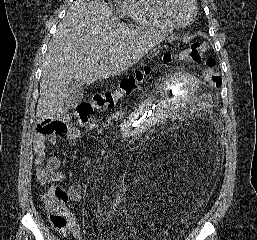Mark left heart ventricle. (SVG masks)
I'll return each mask as SVG.
<instances>
[{
  "mask_svg": "<svg viewBox=\"0 0 257 240\" xmlns=\"http://www.w3.org/2000/svg\"><path fill=\"white\" fill-rule=\"evenodd\" d=\"M168 12L177 23L183 24L190 20L192 6L188 0H169Z\"/></svg>",
  "mask_w": 257,
  "mask_h": 240,
  "instance_id": "obj_1",
  "label": "left heart ventricle"
}]
</instances>
